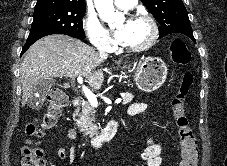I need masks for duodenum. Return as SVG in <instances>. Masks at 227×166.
Returning <instances> with one entry per match:
<instances>
[{"instance_id": "duodenum-1", "label": "duodenum", "mask_w": 227, "mask_h": 166, "mask_svg": "<svg viewBox=\"0 0 227 166\" xmlns=\"http://www.w3.org/2000/svg\"><path fill=\"white\" fill-rule=\"evenodd\" d=\"M83 102L82 97H76L73 100V105L75 107H79ZM117 130V121L114 119L109 120L104 129L100 132V134L89 140V145L93 148H99L103 143L111 140Z\"/></svg>"}]
</instances>
